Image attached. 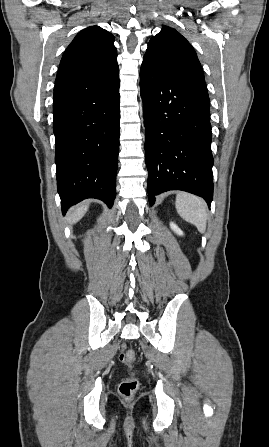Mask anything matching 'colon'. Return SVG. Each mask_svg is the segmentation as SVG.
Instances as JSON below:
<instances>
[{"instance_id":"colon-1","label":"colon","mask_w":269,"mask_h":447,"mask_svg":"<svg viewBox=\"0 0 269 447\" xmlns=\"http://www.w3.org/2000/svg\"><path fill=\"white\" fill-rule=\"evenodd\" d=\"M120 361L127 367H132L137 361V355L131 349L123 350L120 353ZM139 385L140 380L138 378L127 376L119 385L120 396L125 400L131 399L136 393Z\"/></svg>"}]
</instances>
